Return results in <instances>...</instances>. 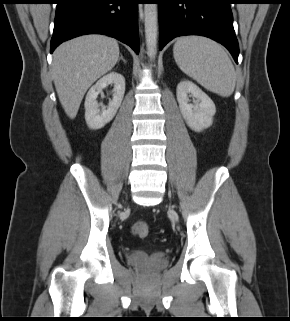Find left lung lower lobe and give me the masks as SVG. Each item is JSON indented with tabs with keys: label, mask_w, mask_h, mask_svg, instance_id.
Segmentation results:
<instances>
[{
	"label": "left lung lower lobe",
	"mask_w": 290,
	"mask_h": 321,
	"mask_svg": "<svg viewBox=\"0 0 290 321\" xmlns=\"http://www.w3.org/2000/svg\"><path fill=\"white\" fill-rule=\"evenodd\" d=\"M159 5V48L173 38L201 35L224 45L238 63L232 0H156Z\"/></svg>",
	"instance_id": "1"
}]
</instances>
